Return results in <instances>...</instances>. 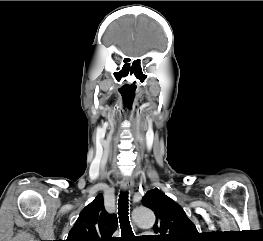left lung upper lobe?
Listing matches in <instances>:
<instances>
[{"label": "left lung upper lobe", "mask_w": 263, "mask_h": 241, "mask_svg": "<svg viewBox=\"0 0 263 241\" xmlns=\"http://www.w3.org/2000/svg\"><path fill=\"white\" fill-rule=\"evenodd\" d=\"M143 205L156 215L153 227L157 235L153 241H198L199 233L188 219L182 207L158 189L151 190L143 197Z\"/></svg>", "instance_id": "5c2ea615"}]
</instances>
